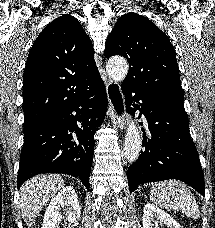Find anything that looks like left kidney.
Wrapping results in <instances>:
<instances>
[{"instance_id": "obj_1", "label": "left kidney", "mask_w": 215, "mask_h": 228, "mask_svg": "<svg viewBox=\"0 0 215 228\" xmlns=\"http://www.w3.org/2000/svg\"><path fill=\"white\" fill-rule=\"evenodd\" d=\"M142 226L143 228H163V226H167V228H181L176 220H173L169 214H166V212H163L154 204H146L143 210Z\"/></svg>"}]
</instances>
